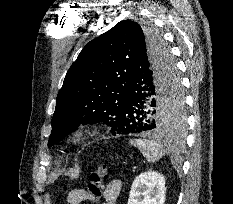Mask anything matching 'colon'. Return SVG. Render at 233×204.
<instances>
[{
	"instance_id": "colon-1",
	"label": "colon",
	"mask_w": 233,
	"mask_h": 204,
	"mask_svg": "<svg viewBox=\"0 0 233 204\" xmlns=\"http://www.w3.org/2000/svg\"><path fill=\"white\" fill-rule=\"evenodd\" d=\"M108 177V166L102 164L93 170L89 175L87 190L73 188L67 192L68 204H82L85 199L96 201L102 195L103 184Z\"/></svg>"
}]
</instances>
